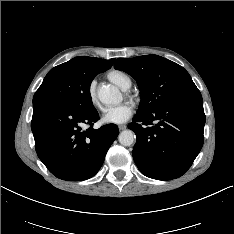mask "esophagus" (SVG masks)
<instances>
[{
	"mask_svg": "<svg viewBox=\"0 0 234 234\" xmlns=\"http://www.w3.org/2000/svg\"><path fill=\"white\" fill-rule=\"evenodd\" d=\"M118 128H119V130H125L127 128V126L126 125H119Z\"/></svg>",
	"mask_w": 234,
	"mask_h": 234,
	"instance_id": "obj_1",
	"label": "esophagus"
}]
</instances>
